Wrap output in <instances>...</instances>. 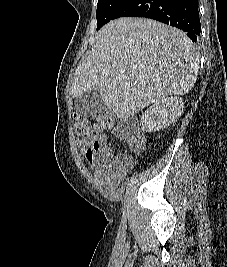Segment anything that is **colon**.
Masks as SVG:
<instances>
[{"instance_id":"obj_1","label":"colon","mask_w":227,"mask_h":267,"mask_svg":"<svg viewBox=\"0 0 227 267\" xmlns=\"http://www.w3.org/2000/svg\"><path fill=\"white\" fill-rule=\"evenodd\" d=\"M114 125V117L108 111H99L91 120L85 115L76 116V130L84 137H92L98 142L102 134L110 130ZM118 135L127 142L134 150H139L144 145V138L139 129L131 122L122 123L118 127Z\"/></svg>"}]
</instances>
